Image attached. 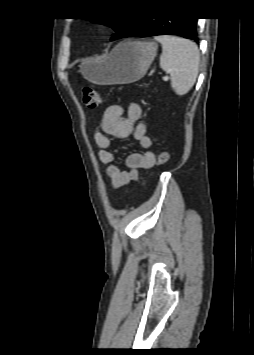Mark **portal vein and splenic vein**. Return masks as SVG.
<instances>
[{
    "instance_id": "obj_1",
    "label": "portal vein and splenic vein",
    "mask_w": 254,
    "mask_h": 355,
    "mask_svg": "<svg viewBox=\"0 0 254 355\" xmlns=\"http://www.w3.org/2000/svg\"><path fill=\"white\" fill-rule=\"evenodd\" d=\"M163 79L166 81L168 80V76H164Z\"/></svg>"
}]
</instances>
